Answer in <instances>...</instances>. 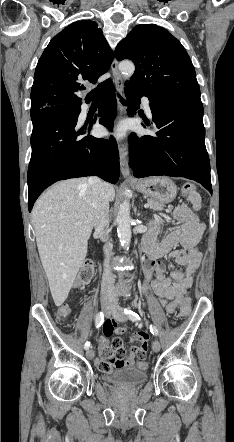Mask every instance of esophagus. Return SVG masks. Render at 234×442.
Segmentation results:
<instances>
[{
  "label": "esophagus",
  "mask_w": 234,
  "mask_h": 442,
  "mask_svg": "<svg viewBox=\"0 0 234 442\" xmlns=\"http://www.w3.org/2000/svg\"><path fill=\"white\" fill-rule=\"evenodd\" d=\"M111 70L113 73L116 89L122 95L124 86H123L122 77L118 70V63L116 59H114L111 64ZM118 111H119V116L121 117L124 114V107L120 102H118ZM120 166L123 177L127 180L133 181L134 179L130 174V169L127 161V150L125 144H121L120 146Z\"/></svg>",
  "instance_id": "34e87169"
}]
</instances>
